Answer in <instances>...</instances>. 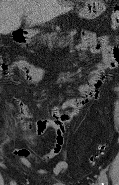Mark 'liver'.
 <instances>
[{
    "mask_svg": "<svg viewBox=\"0 0 119 185\" xmlns=\"http://www.w3.org/2000/svg\"><path fill=\"white\" fill-rule=\"evenodd\" d=\"M70 9L58 0H0V34L7 35L18 30L24 13L28 14L27 24L34 26L46 23Z\"/></svg>",
    "mask_w": 119,
    "mask_h": 185,
    "instance_id": "6515ba94",
    "label": "liver"
}]
</instances>
